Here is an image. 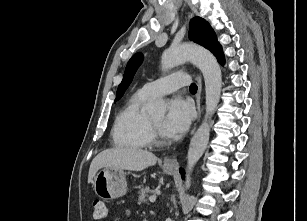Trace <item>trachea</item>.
Wrapping results in <instances>:
<instances>
[{"mask_svg": "<svg viewBox=\"0 0 307 221\" xmlns=\"http://www.w3.org/2000/svg\"><path fill=\"white\" fill-rule=\"evenodd\" d=\"M190 92H194V93H196L197 92V85L195 84V83H192L191 85H190Z\"/></svg>", "mask_w": 307, "mask_h": 221, "instance_id": "3493384b", "label": "trachea"}]
</instances>
